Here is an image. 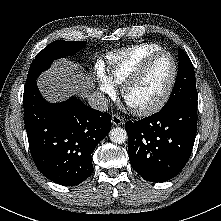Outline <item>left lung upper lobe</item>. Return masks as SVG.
<instances>
[{
	"mask_svg": "<svg viewBox=\"0 0 221 221\" xmlns=\"http://www.w3.org/2000/svg\"><path fill=\"white\" fill-rule=\"evenodd\" d=\"M179 65L172 93L162 109L184 99H197L195 72L188 55L179 49Z\"/></svg>",
	"mask_w": 221,
	"mask_h": 221,
	"instance_id": "1",
	"label": "left lung upper lobe"
}]
</instances>
